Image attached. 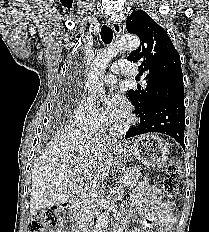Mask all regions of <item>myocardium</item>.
Segmentation results:
<instances>
[{"label":"myocardium","instance_id":"obj_1","mask_svg":"<svg viewBox=\"0 0 209 232\" xmlns=\"http://www.w3.org/2000/svg\"><path fill=\"white\" fill-rule=\"evenodd\" d=\"M133 121H134L133 116L129 115L122 123L115 126L113 128V131L118 132V133L124 132L125 130H127L130 127V125L133 123Z\"/></svg>","mask_w":209,"mask_h":232}]
</instances>
